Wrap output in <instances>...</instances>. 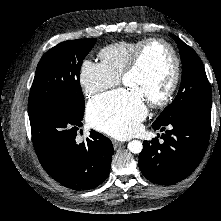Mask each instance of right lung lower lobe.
I'll list each match as a JSON object with an SVG mask.
<instances>
[{"label":"right lung lower lobe","mask_w":221,"mask_h":221,"mask_svg":"<svg viewBox=\"0 0 221 221\" xmlns=\"http://www.w3.org/2000/svg\"><path fill=\"white\" fill-rule=\"evenodd\" d=\"M83 114L65 106H53L29 116L37 157L46 172L73 190H89L107 177L113 145L94 130L85 142L75 140Z\"/></svg>","instance_id":"1"}]
</instances>
